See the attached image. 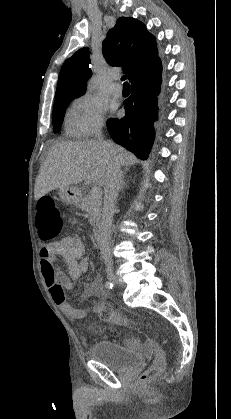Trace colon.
I'll return each mask as SVG.
<instances>
[{"label": "colon", "mask_w": 231, "mask_h": 419, "mask_svg": "<svg viewBox=\"0 0 231 419\" xmlns=\"http://www.w3.org/2000/svg\"><path fill=\"white\" fill-rule=\"evenodd\" d=\"M62 223V215L57 207L55 200L48 196L42 197L38 203L37 210V227L40 238L43 241H50L56 238L61 231ZM95 311L103 321L124 326H129L132 324L130 319L114 312L107 305L98 306ZM155 352L156 359L152 365L140 376V385H147L164 371L165 359L157 343H155Z\"/></svg>", "instance_id": "5ec220e1"}]
</instances>
